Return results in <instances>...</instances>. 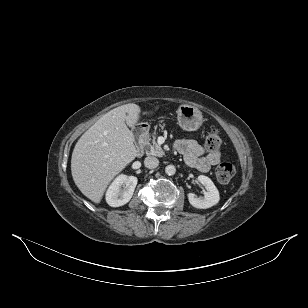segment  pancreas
<instances>
[{
	"label": "pancreas",
	"instance_id": "cf45deb5",
	"mask_svg": "<svg viewBox=\"0 0 308 308\" xmlns=\"http://www.w3.org/2000/svg\"><path fill=\"white\" fill-rule=\"evenodd\" d=\"M164 128V124L160 125ZM156 133L150 135L147 134L144 136V144L146 147V152L149 155H154L158 157H162L164 155V151L162 150L161 146L156 142Z\"/></svg>",
	"mask_w": 308,
	"mask_h": 308
}]
</instances>
